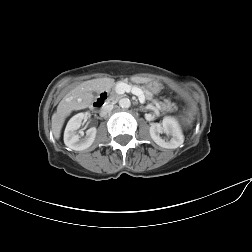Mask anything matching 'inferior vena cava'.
Returning <instances> with one entry per match:
<instances>
[{
  "label": "inferior vena cava",
  "mask_w": 252,
  "mask_h": 252,
  "mask_svg": "<svg viewBox=\"0 0 252 252\" xmlns=\"http://www.w3.org/2000/svg\"><path fill=\"white\" fill-rule=\"evenodd\" d=\"M113 107H114L113 104H107V105L103 106L100 111V115L101 116L107 115L108 113H110L112 111Z\"/></svg>",
  "instance_id": "1"
}]
</instances>
